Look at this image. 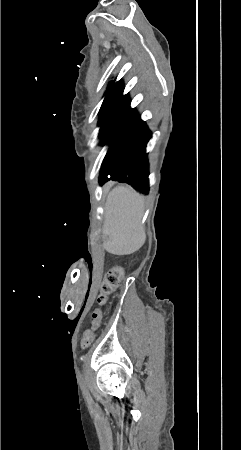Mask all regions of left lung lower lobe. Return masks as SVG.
<instances>
[{"label": "left lung lower lobe", "mask_w": 241, "mask_h": 450, "mask_svg": "<svg viewBox=\"0 0 241 450\" xmlns=\"http://www.w3.org/2000/svg\"><path fill=\"white\" fill-rule=\"evenodd\" d=\"M123 88L101 110L98 125L104 143L111 140L99 175L100 184L109 180L128 183L148 194V160L146 143L151 133L135 109L130 108Z\"/></svg>", "instance_id": "left-lung-lower-lobe-1"}]
</instances>
